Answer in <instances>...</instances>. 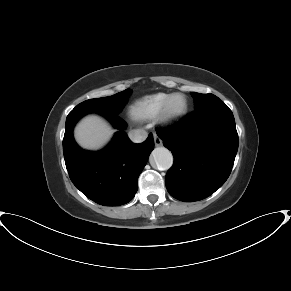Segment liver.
<instances>
[{
	"label": "liver",
	"mask_w": 291,
	"mask_h": 291,
	"mask_svg": "<svg viewBox=\"0 0 291 291\" xmlns=\"http://www.w3.org/2000/svg\"><path fill=\"white\" fill-rule=\"evenodd\" d=\"M113 132L101 117L89 115L76 126L74 136L82 148L97 150L107 143Z\"/></svg>",
	"instance_id": "6515ba94"
}]
</instances>
